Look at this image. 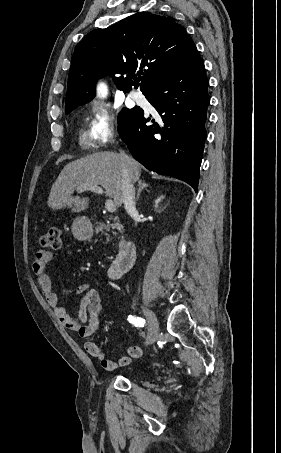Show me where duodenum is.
<instances>
[{
    "label": "duodenum",
    "instance_id": "duodenum-1",
    "mask_svg": "<svg viewBox=\"0 0 281 453\" xmlns=\"http://www.w3.org/2000/svg\"><path fill=\"white\" fill-rule=\"evenodd\" d=\"M136 258V246L131 241L122 242L119 252L108 269V276L117 279L128 271Z\"/></svg>",
    "mask_w": 281,
    "mask_h": 453
}]
</instances>
